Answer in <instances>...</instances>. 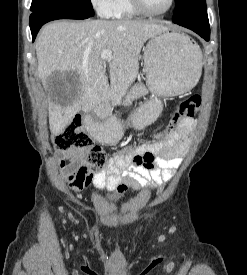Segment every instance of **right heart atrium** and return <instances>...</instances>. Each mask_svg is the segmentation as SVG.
<instances>
[{"mask_svg": "<svg viewBox=\"0 0 247 275\" xmlns=\"http://www.w3.org/2000/svg\"><path fill=\"white\" fill-rule=\"evenodd\" d=\"M93 8L103 17H109L114 0H90Z\"/></svg>", "mask_w": 247, "mask_h": 275, "instance_id": "1", "label": "right heart atrium"}]
</instances>
